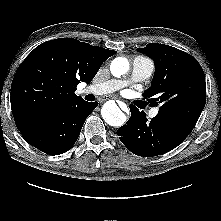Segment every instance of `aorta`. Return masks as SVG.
<instances>
[{"mask_svg": "<svg viewBox=\"0 0 221 221\" xmlns=\"http://www.w3.org/2000/svg\"><path fill=\"white\" fill-rule=\"evenodd\" d=\"M110 70L115 77L125 75L129 70V62L124 57H117L111 62ZM101 113L104 121L110 126L120 127L126 121L125 114L113 101L105 103Z\"/></svg>", "mask_w": 221, "mask_h": 221, "instance_id": "762f6f07", "label": "aorta"}]
</instances>
